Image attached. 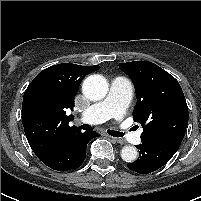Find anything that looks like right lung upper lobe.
<instances>
[{"instance_id": "cb5924a9", "label": "right lung upper lobe", "mask_w": 201, "mask_h": 201, "mask_svg": "<svg viewBox=\"0 0 201 201\" xmlns=\"http://www.w3.org/2000/svg\"><path fill=\"white\" fill-rule=\"evenodd\" d=\"M100 68L62 63L41 71L27 87L22 104V123L27 140L37 157L54 152L76 132L69 126L74 97L83 78Z\"/></svg>"}]
</instances>
